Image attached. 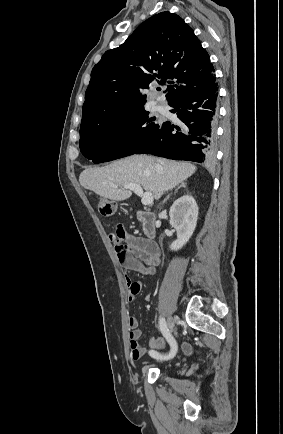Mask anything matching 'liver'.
Returning <instances> with one entry per match:
<instances>
[{
  "instance_id": "liver-1",
  "label": "liver",
  "mask_w": 283,
  "mask_h": 434,
  "mask_svg": "<svg viewBox=\"0 0 283 434\" xmlns=\"http://www.w3.org/2000/svg\"><path fill=\"white\" fill-rule=\"evenodd\" d=\"M196 166L186 162L132 155L104 167H88L79 176L80 184L97 195L113 201L128 199L132 192L125 184H138L159 199L188 179Z\"/></svg>"
}]
</instances>
